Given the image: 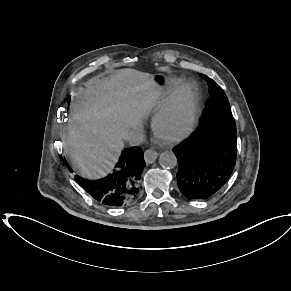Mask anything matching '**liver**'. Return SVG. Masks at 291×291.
<instances>
[{
	"label": "liver",
	"instance_id": "6515ba94",
	"mask_svg": "<svg viewBox=\"0 0 291 291\" xmlns=\"http://www.w3.org/2000/svg\"><path fill=\"white\" fill-rule=\"evenodd\" d=\"M153 75L116 70L87 83L67 125L66 151L79 174L97 179L109 172L123 149V136L141 127L158 93Z\"/></svg>",
	"mask_w": 291,
	"mask_h": 291
}]
</instances>
